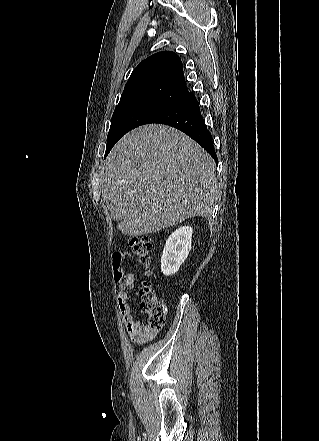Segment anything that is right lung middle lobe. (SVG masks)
I'll return each instance as SVG.
<instances>
[{"label":"right lung middle lobe","instance_id":"dd1d6c3e","mask_svg":"<svg viewBox=\"0 0 319 441\" xmlns=\"http://www.w3.org/2000/svg\"><path fill=\"white\" fill-rule=\"evenodd\" d=\"M173 103L157 98H138L117 105L107 136L105 157L115 143L130 130L143 125Z\"/></svg>","mask_w":319,"mask_h":441}]
</instances>
